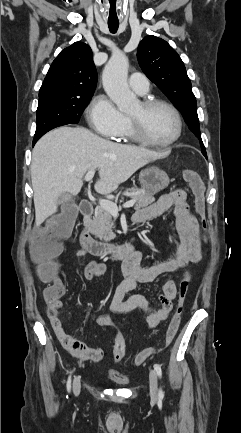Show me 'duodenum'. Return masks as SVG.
Listing matches in <instances>:
<instances>
[{
  "instance_id": "410a0bca",
  "label": "duodenum",
  "mask_w": 241,
  "mask_h": 433,
  "mask_svg": "<svg viewBox=\"0 0 241 433\" xmlns=\"http://www.w3.org/2000/svg\"><path fill=\"white\" fill-rule=\"evenodd\" d=\"M80 211L83 216V229L80 241L83 249L94 256H106L111 260L118 261L130 258L136 253L135 245L132 240H127L119 244H109L97 241L89 230V220L94 212V205L85 199L80 204ZM134 223H140V218H134Z\"/></svg>"
}]
</instances>
